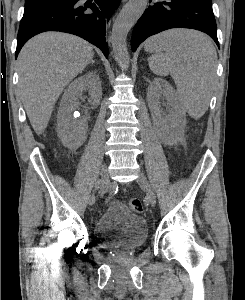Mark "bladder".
<instances>
[{
    "label": "bladder",
    "instance_id": "bladder-1",
    "mask_svg": "<svg viewBox=\"0 0 245 300\" xmlns=\"http://www.w3.org/2000/svg\"><path fill=\"white\" fill-rule=\"evenodd\" d=\"M98 243L114 252H128L141 247L148 235L145 219L121 202H112L94 225Z\"/></svg>",
    "mask_w": 245,
    "mask_h": 300
}]
</instances>
